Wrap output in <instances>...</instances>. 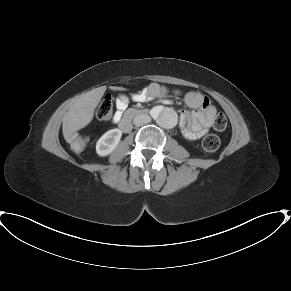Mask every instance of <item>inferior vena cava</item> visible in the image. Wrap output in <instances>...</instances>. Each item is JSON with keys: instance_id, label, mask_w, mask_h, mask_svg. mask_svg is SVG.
Instances as JSON below:
<instances>
[{"instance_id": "inferior-vena-cava-1", "label": "inferior vena cava", "mask_w": 291, "mask_h": 291, "mask_svg": "<svg viewBox=\"0 0 291 291\" xmlns=\"http://www.w3.org/2000/svg\"><path fill=\"white\" fill-rule=\"evenodd\" d=\"M150 122H151V117L147 114H139L133 120L134 125L138 127L148 124Z\"/></svg>"}]
</instances>
